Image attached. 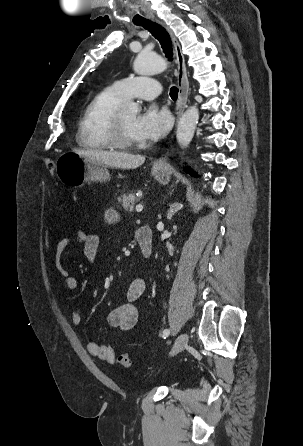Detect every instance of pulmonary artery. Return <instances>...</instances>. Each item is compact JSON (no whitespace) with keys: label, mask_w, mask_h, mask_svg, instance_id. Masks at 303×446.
<instances>
[{"label":"pulmonary artery","mask_w":303,"mask_h":446,"mask_svg":"<svg viewBox=\"0 0 303 446\" xmlns=\"http://www.w3.org/2000/svg\"><path fill=\"white\" fill-rule=\"evenodd\" d=\"M113 87L124 98L153 100L161 92L160 83L151 77H127L114 82Z\"/></svg>","instance_id":"obj_1"}]
</instances>
